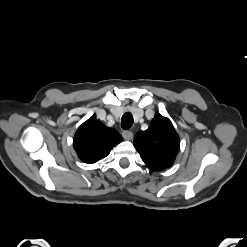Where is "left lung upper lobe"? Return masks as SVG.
<instances>
[{
	"label": "left lung upper lobe",
	"instance_id": "1",
	"mask_svg": "<svg viewBox=\"0 0 247 247\" xmlns=\"http://www.w3.org/2000/svg\"><path fill=\"white\" fill-rule=\"evenodd\" d=\"M134 146L148 167L160 171L173 164L180 141L170 120L157 114L147 130L135 135Z\"/></svg>",
	"mask_w": 247,
	"mask_h": 247
}]
</instances>
